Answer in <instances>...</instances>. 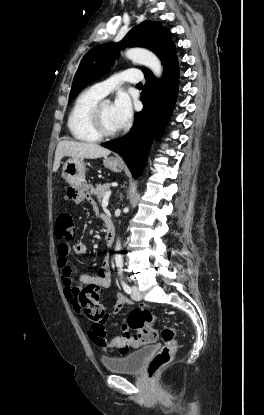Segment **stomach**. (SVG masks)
<instances>
[{"label":"stomach","mask_w":264,"mask_h":415,"mask_svg":"<svg viewBox=\"0 0 264 415\" xmlns=\"http://www.w3.org/2000/svg\"><path fill=\"white\" fill-rule=\"evenodd\" d=\"M103 164L113 172H121L124 168L115 157H105ZM85 171L84 158H70L63 165L62 177L76 191H80L85 187Z\"/></svg>","instance_id":"0dacf381"}]
</instances>
